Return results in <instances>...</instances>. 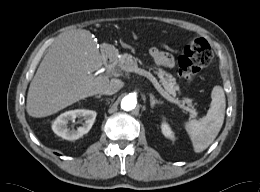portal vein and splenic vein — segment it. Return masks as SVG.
Listing matches in <instances>:
<instances>
[{"label":"portal vein and splenic vein","mask_w":260,"mask_h":192,"mask_svg":"<svg viewBox=\"0 0 260 192\" xmlns=\"http://www.w3.org/2000/svg\"><path fill=\"white\" fill-rule=\"evenodd\" d=\"M125 71L127 72H135L139 75L145 76L146 78H148L153 85L155 86V88L158 90V92L168 101H170L171 103L177 104L180 108L189 111V109L187 107H184L183 105L180 104V102L177 99H174L173 97H171L168 93H166L164 91V89L161 87V85L159 84V82L157 81V79L148 71L139 68L138 66H129L127 68H125Z\"/></svg>","instance_id":"portal-vein-and-splenic-vein-1"}]
</instances>
